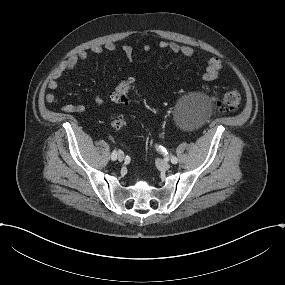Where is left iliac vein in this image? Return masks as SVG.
Segmentation results:
<instances>
[{"instance_id": "obj_1", "label": "left iliac vein", "mask_w": 285, "mask_h": 285, "mask_svg": "<svg viewBox=\"0 0 285 285\" xmlns=\"http://www.w3.org/2000/svg\"><path fill=\"white\" fill-rule=\"evenodd\" d=\"M157 165L161 170H164V171H167L168 169H170V164L162 160H158Z\"/></svg>"}]
</instances>
